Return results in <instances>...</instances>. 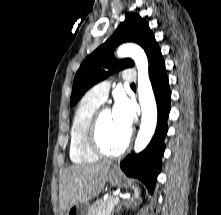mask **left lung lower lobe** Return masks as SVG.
Instances as JSON below:
<instances>
[{
    "label": "left lung lower lobe",
    "instance_id": "1",
    "mask_svg": "<svg viewBox=\"0 0 221 215\" xmlns=\"http://www.w3.org/2000/svg\"><path fill=\"white\" fill-rule=\"evenodd\" d=\"M149 77L158 108V122L153 139L147 148L138 155H129L120 167L129 177L140 179L150 193H153L157 175L161 170V157L164 153V137L168 131L167 118L170 112L171 92L161 50L149 63Z\"/></svg>",
    "mask_w": 221,
    "mask_h": 215
}]
</instances>
